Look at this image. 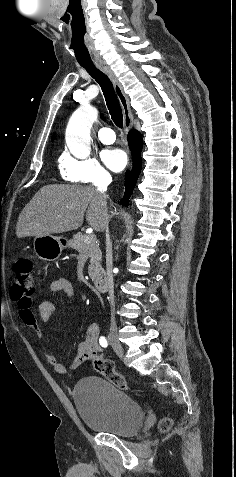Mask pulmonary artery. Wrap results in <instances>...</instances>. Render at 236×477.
I'll return each mask as SVG.
<instances>
[{
    "instance_id": "obj_1",
    "label": "pulmonary artery",
    "mask_w": 236,
    "mask_h": 477,
    "mask_svg": "<svg viewBox=\"0 0 236 477\" xmlns=\"http://www.w3.org/2000/svg\"><path fill=\"white\" fill-rule=\"evenodd\" d=\"M99 140L104 144H111L115 141L116 136L112 129L110 128H100L97 132Z\"/></svg>"
}]
</instances>
